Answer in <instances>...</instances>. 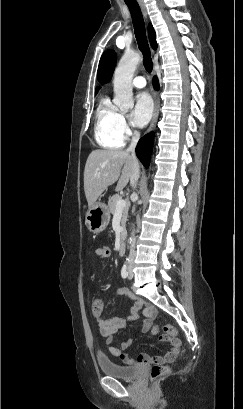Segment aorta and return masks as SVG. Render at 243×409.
<instances>
[{"label": "aorta", "mask_w": 243, "mask_h": 409, "mask_svg": "<svg viewBox=\"0 0 243 409\" xmlns=\"http://www.w3.org/2000/svg\"><path fill=\"white\" fill-rule=\"evenodd\" d=\"M140 62V55L134 51H126L114 72V104L121 110L134 106L132 78ZM130 242L132 239L130 238Z\"/></svg>", "instance_id": "1"}]
</instances>
